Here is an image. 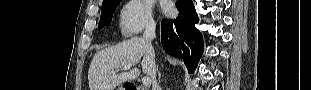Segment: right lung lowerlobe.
<instances>
[{
	"instance_id": "1",
	"label": "right lung lower lobe",
	"mask_w": 311,
	"mask_h": 90,
	"mask_svg": "<svg viewBox=\"0 0 311 90\" xmlns=\"http://www.w3.org/2000/svg\"><path fill=\"white\" fill-rule=\"evenodd\" d=\"M176 7V19L162 20V47L169 55L183 59L188 71L194 72L203 53V37L195 27L197 13L192 0H177Z\"/></svg>"
}]
</instances>
